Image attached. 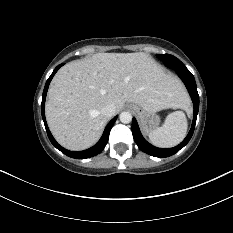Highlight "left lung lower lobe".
Listing matches in <instances>:
<instances>
[{
	"label": "left lung lower lobe",
	"instance_id": "left-lung-lower-lobe-1",
	"mask_svg": "<svg viewBox=\"0 0 233 233\" xmlns=\"http://www.w3.org/2000/svg\"><path fill=\"white\" fill-rule=\"evenodd\" d=\"M174 70L176 71L178 76L182 79L184 84L186 85V88L188 89V92L193 101L194 117H193L192 127L188 135L186 136V138L179 145L173 148H169V149H162V148L154 147L142 137L137 121L135 118H133L132 133H133V138L136 144L143 152L151 156H154V157H160V158L169 157L175 154L176 152H178L180 149H182L191 139L193 132H194L195 124H196V118H197V114L199 110V95L197 92V86H196L195 79L193 75L191 74V72L185 66L184 67L176 66L174 67Z\"/></svg>",
	"mask_w": 233,
	"mask_h": 233
}]
</instances>
